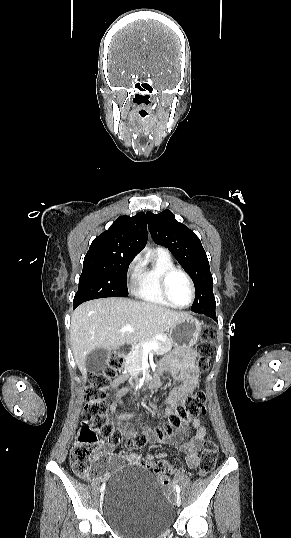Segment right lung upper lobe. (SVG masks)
<instances>
[{"label":"right lung upper lobe","mask_w":291,"mask_h":538,"mask_svg":"<svg viewBox=\"0 0 291 538\" xmlns=\"http://www.w3.org/2000/svg\"><path fill=\"white\" fill-rule=\"evenodd\" d=\"M147 223L143 212L134 217L120 216L111 227L96 237L87 253L136 256L147 242Z\"/></svg>","instance_id":"1"}]
</instances>
